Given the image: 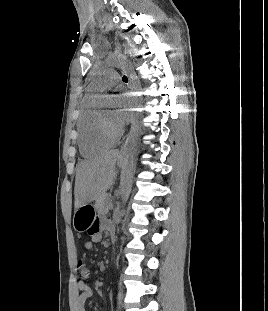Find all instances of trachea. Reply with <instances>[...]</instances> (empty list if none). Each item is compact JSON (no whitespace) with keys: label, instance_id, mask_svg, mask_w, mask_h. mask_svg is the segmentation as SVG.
I'll return each instance as SVG.
<instances>
[{"label":"trachea","instance_id":"obj_1","mask_svg":"<svg viewBox=\"0 0 268 311\" xmlns=\"http://www.w3.org/2000/svg\"><path fill=\"white\" fill-rule=\"evenodd\" d=\"M122 80H123L124 82H127V77H126V76H123V77H122Z\"/></svg>","mask_w":268,"mask_h":311}]
</instances>
